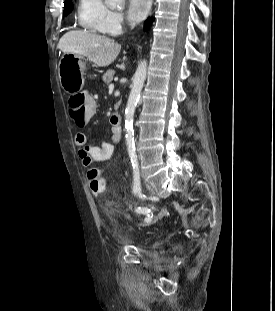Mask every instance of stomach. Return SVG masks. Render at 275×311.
Wrapping results in <instances>:
<instances>
[{
	"label": "stomach",
	"mask_w": 275,
	"mask_h": 311,
	"mask_svg": "<svg viewBox=\"0 0 275 311\" xmlns=\"http://www.w3.org/2000/svg\"><path fill=\"white\" fill-rule=\"evenodd\" d=\"M86 65L87 60L81 55L65 53L61 57L58 66L59 78L67 93L74 94L83 88Z\"/></svg>",
	"instance_id": "stomach-1"
}]
</instances>
